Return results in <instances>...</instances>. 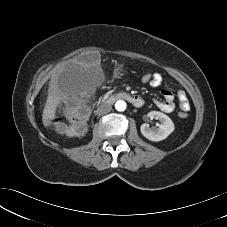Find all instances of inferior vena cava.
<instances>
[{"instance_id":"obj_1","label":"inferior vena cava","mask_w":227,"mask_h":227,"mask_svg":"<svg viewBox=\"0 0 227 227\" xmlns=\"http://www.w3.org/2000/svg\"><path fill=\"white\" fill-rule=\"evenodd\" d=\"M111 110H112V107H111L110 104L103 103V104H101V105L97 108L96 114H97L98 116H102V115H104V114L109 113Z\"/></svg>"}]
</instances>
